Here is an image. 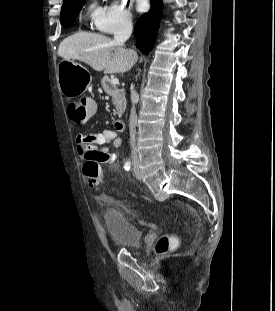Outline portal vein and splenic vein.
Returning a JSON list of instances; mask_svg holds the SVG:
<instances>
[{
  "mask_svg": "<svg viewBox=\"0 0 275 311\" xmlns=\"http://www.w3.org/2000/svg\"><path fill=\"white\" fill-rule=\"evenodd\" d=\"M111 83L113 85H117V84H119V80L117 78H114V79L111 80Z\"/></svg>",
  "mask_w": 275,
  "mask_h": 311,
  "instance_id": "portal-vein-and-splenic-vein-1",
  "label": "portal vein and splenic vein"
}]
</instances>
